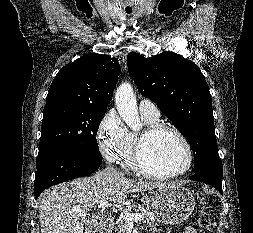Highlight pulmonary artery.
<instances>
[{
	"mask_svg": "<svg viewBox=\"0 0 253 233\" xmlns=\"http://www.w3.org/2000/svg\"><path fill=\"white\" fill-rule=\"evenodd\" d=\"M139 112L141 116L159 118L160 112L156 105L149 99H142L139 102Z\"/></svg>",
	"mask_w": 253,
	"mask_h": 233,
	"instance_id": "pulmonary-artery-1",
	"label": "pulmonary artery"
}]
</instances>
